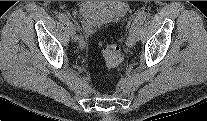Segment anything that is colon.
<instances>
[{
    "label": "colon",
    "mask_w": 207,
    "mask_h": 121,
    "mask_svg": "<svg viewBox=\"0 0 207 121\" xmlns=\"http://www.w3.org/2000/svg\"><path fill=\"white\" fill-rule=\"evenodd\" d=\"M103 58L109 68L118 67L123 61V52L114 39L103 46Z\"/></svg>",
    "instance_id": "5ec220e1"
}]
</instances>
